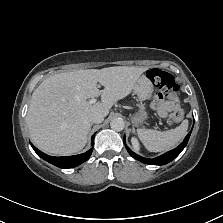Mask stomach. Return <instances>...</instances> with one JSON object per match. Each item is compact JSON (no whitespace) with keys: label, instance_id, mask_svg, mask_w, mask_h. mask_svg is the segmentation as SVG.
<instances>
[{"label":"stomach","instance_id":"1","mask_svg":"<svg viewBox=\"0 0 223 223\" xmlns=\"http://www.w3.org/2000/svg\"><path fill=\"white\" fill-rule=\"evenodd\" d=\"M133 90L139 98L149 99L153 92V84L149 78L140 76L134 84ZM137 121H140V117L137 118Z\"/></svg>","mask_w":223,"mask_h":223}]
</instances>
